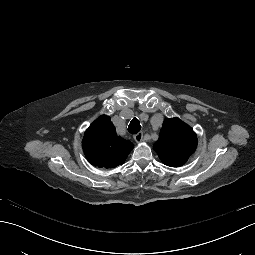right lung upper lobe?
<instances>
[{
    "label": "right lung upper lobe",
    "mask_w": 255,
    "mask_h": 255,
    "mask_svg": "<svg viewBox=\"0 0 255 255\" xmlns=\"http://www.w3.org/2000/svg\"><path fill=\"white\" fill-rule=\"evenodd\" d=\"M87 160L94 166L113 168L126 160L134 145L116 133L110 117L96 119L85 132L82 141Z\"/></svg>",
    "instance_id": "right-lung-upper-lobe-1"
}]
</instances>
